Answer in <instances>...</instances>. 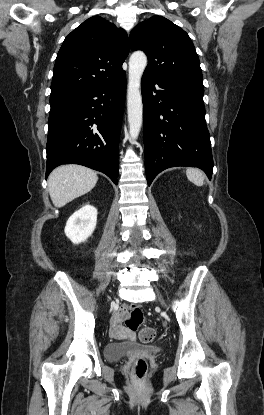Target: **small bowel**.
Returning <instances> with one entry per match:
<instances>
[{
  "mask_svg": "<svg viewBox=\"0 0 264 415\" xmlns=\"http://www.w3.org/2000/svg\"><path fill=\"white\" fill-rule=\"evenodd\" d=\"M129 309L127 307H122L115 312L110 321L109 336L114 340H134L135 334L133 330L125 329L123 326V320L127 315Z\"/></svg>",
  "mask_w": 264,
  "mask_h": 415,
  "instance_id": "c3829d8e",
  "label": "small bowel"
}]
</instances>
